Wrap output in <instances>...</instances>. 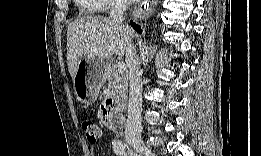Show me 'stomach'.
Returning <instances> with one entry per match:
<instances>
[{
    "mask_svg": "<svg viewBox=\"0 0 261 156\" xmlns=\"http://www.w3.org/2000/svg\"><path fill=\"white\" fill-rule=\"evenodd\" d=\"M86 61V60H85ZM105 60H89L84 66L85 71L78 68L74 78V90L77 98L85 105H91L98 97L104 79Z\"/></svg>",
    "mask_w": 261,
    "mask_h": 156,
    "instance_id": "obj_1",
    "label": "stomach"
}]
</instances>
